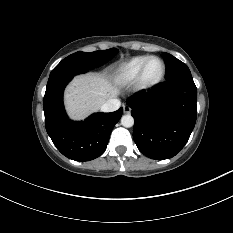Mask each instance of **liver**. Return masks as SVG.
I'll use <instances>...</instances> for the list:
<instances>
[{
  "mask_svg": "<svg viewBox=\"0 0 233 233\" xmlns=\"http://www.w3.org/2000/svg\"><path fill=\"white\" fill-rule=\"evenodd\" d=\"M119 93V88L103 74L80 75L66 88V110L71 119L82 120Z\"/></svg>",
  "mask_w": 233,
  "mask_h": 233,
  "instance_id": "liver-1",
  "label": "liver"
}]
</instances>
